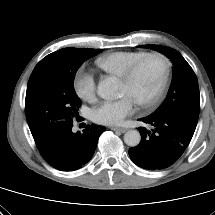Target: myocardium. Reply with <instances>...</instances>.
Masks as SVG:
<instances>
[{
    "label": "myocardium",
    "mask_w": 215,
    "mask_h": 215,
    "mask_svg": "<svg viewBox=\"0 0 215 215\" xmlns=\"http://www.w3.org/2000/svg\"><path fill=\"white\" fill-rule=\"evenodd\" d=\"M149 58H158L159 60H161L163 64V74H162L160 84L156 89V91L154 92V94L147 100L136 102L140 107H143V108H151L155 106L161 99L162 95L164 94L169 81L170 72H171V63L169 58L161 52L145 53L143 56H141L136 61H134L127 68L124 74L120 77L121 81L130 82L135 76V74L137 73L140 66L144 63V61H146Z\"/></svg>",
    "instance_id": "myocardium-1"
}]
</instances>
